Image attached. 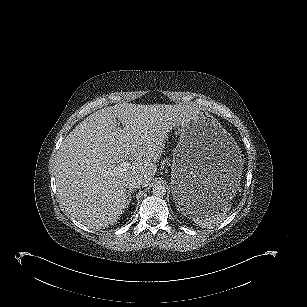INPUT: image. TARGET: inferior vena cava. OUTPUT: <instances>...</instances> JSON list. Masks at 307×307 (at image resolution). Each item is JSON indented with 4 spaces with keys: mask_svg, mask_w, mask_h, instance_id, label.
Masks as SVG:
<instances>
[{
    "mask_svg": "<svg viewBox=\"0 0 307 307\" xmlns=\"http://www.w3.org/2000/svg\"><path fill=\"white\" fill-rule=\"evenodd\" d=\"M143 185V181L140 178L134 177L127 181V188L131 191L140 188Z\"/></svg>",
    "mask_w": 307,
    "mask_h": 307,
    "instance_id": "1",
    "label": "inferior vena cava"
}]
</instances>
